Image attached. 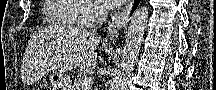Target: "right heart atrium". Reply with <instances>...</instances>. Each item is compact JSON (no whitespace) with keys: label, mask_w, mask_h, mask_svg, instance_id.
<instances>
[{"label":"right heart atrium","mask_w":216,"mask_h":90,"mask_svg":"<svg viewBox=\"0 0 216 90\" xmlns=\"http://www.w3.org/2000/svg\"><path fill=\"white\" fill-rule=\"evenodd\" d=\"M76 3H81L82 0H75ZM101 13V10L98 6L88 7L81 15L82 20H97Z\"/></svg>","instance_id":"right-heart-atrium-1"}]
</instances>
